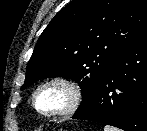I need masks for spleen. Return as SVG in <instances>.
Wrapping results in <instances>:
<instances>
[{
    "mask_svg": "<svg viewBox=\"0 0 147 131\" xmlns=\"http://www.w3.org/2000/svg\"><path fill=\"white\" fill-rule=\"evenodd\" d=\"M104 131H120V130L115 128V127H113V126L106 125L104 127Z\"/></svg>",
    "mask_w": 147,
    "mask_h": 131,
    "instance_id": "spleen-1",
    "label": "spleen"
}]
</instances>
